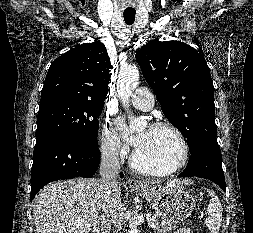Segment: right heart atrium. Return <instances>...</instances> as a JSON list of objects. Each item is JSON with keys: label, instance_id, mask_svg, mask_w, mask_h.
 Returning <instances> with one entry per match:
<instances>
[{"label": "right heart atrium", "instance_id": "1", "mask_svg": "<svg viewBox=\"0 0 253 233\" xmlns=\"http://www.w3.org/2000/svg\"><path fill=\"white\" fill-rule=\"evenodd\" d=\"M101 151L112 158H122L127 153V146L123 143L118 132L106 124L101 133Z\"/></svg>", "mask_w": 253, "mask_h": 233}]
</instances>
